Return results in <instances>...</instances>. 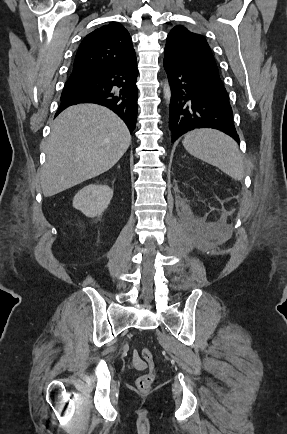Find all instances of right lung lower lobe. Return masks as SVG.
<instances>
[{
    "mask_svg": "<svg viewBox=\"0 0 287 434\" xmlns=\"http://www.w3.org/2000/svg\"><path fill=\"white\" fill-rule=\"evenodd\" d=\"M136 59L119 65L73 72L61 94L56 115L78 103H96L114 111L130 133L136 128L138 89Z\"/></svg>",
    "mask_w": 287,
    "mask_h": 434,
    "instance_id": "1",
    "label": "right lung lower lobe"
}]
</instances>
